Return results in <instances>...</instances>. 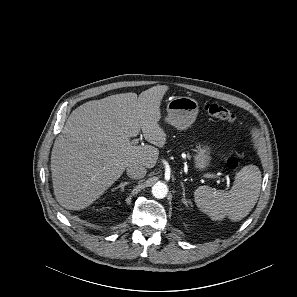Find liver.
Instances as JSON below:
<instances>
[{
    "mask_svg": "<svg viewBox=\"0 0 297 297\" xmlns=\"http://www.w3.org/2000/svg\"><path fill=\"white\" fill-rule=\"evenodd\" d=\"M169 89L111 95L76 108L57 136L51 153L54 195L69 210H80L101 196L130 165L153 168L166 143L160 105ZM142 131L152 145L130 142Z\"/></svg>",
    "mask_w": 297,
    "mask_h": 297,
    "instance_id": "1",
    "label": "liver"
}]
</instances>
